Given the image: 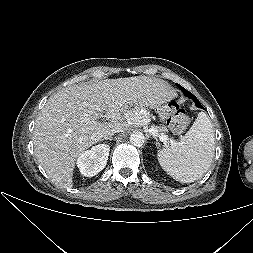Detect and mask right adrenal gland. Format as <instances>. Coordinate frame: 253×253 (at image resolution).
Listing matches in <instances>:
<instances>
[{
  "label": "right adrenal gland",
  "instance_id": "2a0ac1e0",
  "mask_svg": "<svg viewBox=\"0 0 253 253\" xmlns=\"http://www.w3.org/2000/svg\"><path fill=\"white\" fill-rule=\"evenodd\" d=\"M110 140V141H112V139H113V137L112 136H109V137H104L102 140Z\"/></svg>",
  "mask_w": 253,
  "mask_h": 253
}]
</instances>
